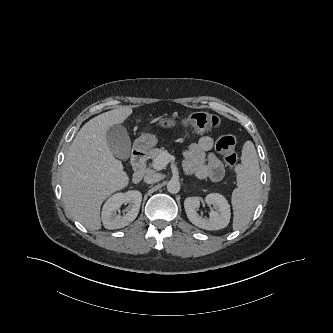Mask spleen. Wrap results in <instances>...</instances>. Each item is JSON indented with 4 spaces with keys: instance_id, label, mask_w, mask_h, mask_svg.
I'll return each mask as SVG.
<instances>
[{
    "instance_id": "spleen-1",
    "label": "spleen",
    "mask_w": 333,
    "mask_h": 333,
    "mask_svg": "<svg viewBox=\"0 0 333 333\" xmlns=\"http://www.w3.org/2000/svg\"><path fill=\"white\" fill-rule=\"evenodd\" d=\"M237 188L231 197L233 207V229L244 228L251 220L260 196V168L254 144L243 145L241 164L236 167Z\"/></svg>"
}]
</instances>
